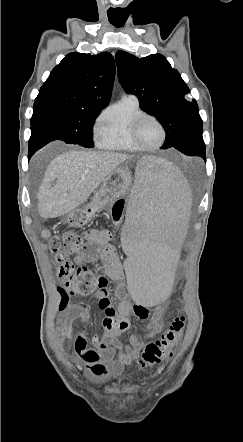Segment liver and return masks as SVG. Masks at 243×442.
<instances>
[{"instance_id":"1","label":"liver","mask_w":243,"mask_h":442,"mask_svg":"<svg viewBox=\"0 0 243 442\" xmlns=\"http://www.w3.org/2000/svg\"><path fill=\"white\" fill-rule=\"evenodd\" d=\"M129 155L79 150L65 152L54 158L46 172L38 193V212L42 218L68 214L84 203L101 182ZM57 179L55 185L51 183Z\"/></svg>"}]
</instances>
